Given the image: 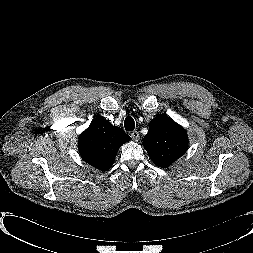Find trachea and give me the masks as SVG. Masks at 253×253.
<instances>
[{
	"mask_svg": "<svg viewBox=\"0 0 253 253\" xmlns=\"http://www.w3.org/2000/svg\"><path fill=\"white\" fill-rule=\"evenodd\" d=\"M124 127L126 131H133L135 128V122L131 116H127L124 121Z\"/></svg>",
	"mask_w": 253,
	"mask_h": 253,
	"instance_id": "trachea-1",
	"label": "trachea"
}]
</instances>
